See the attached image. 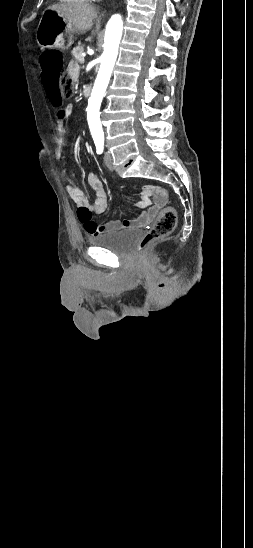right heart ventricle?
Here are the masks:
<instances>
[{
	"label": "right heart ventricle",
	"instance_id": "e07e8e85",
	"mask_svg": "<svg viewBox=\"0 0 253 548\" xmlns=\"http://www.w3.org/2000/svg\"><path fill=\"white\" fill-rule=\"evenodd\" d=\"M62 2H66V3H84V2H88L90 0H60Z\"/></svg>",
	"mask_w": 253,
	"mask_h": 548
}]
</instances>
